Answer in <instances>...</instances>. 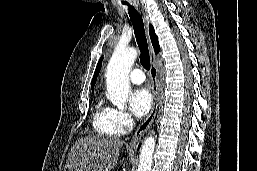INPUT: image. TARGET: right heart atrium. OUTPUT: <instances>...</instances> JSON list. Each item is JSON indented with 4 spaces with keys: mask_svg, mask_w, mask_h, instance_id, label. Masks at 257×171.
Segmentation results:
<instances>
[{
    "mask_svg": "<svg viewBox=\"0 0 257 171\" xmlns=\"http://www.w3.org/2000/svg\"><path fill=\"white\" fill-rule=\"evenodd\" d=\"M113 112L116 124L122 132L132 126V116L126 110L113 108Z\"/></svg>",
    "mask_w": 257,
    "mask_h": 171,
    "instance_id": "1",
    "label": "right heart atrium"
}]
</instances>
